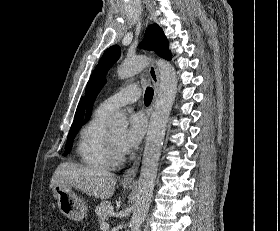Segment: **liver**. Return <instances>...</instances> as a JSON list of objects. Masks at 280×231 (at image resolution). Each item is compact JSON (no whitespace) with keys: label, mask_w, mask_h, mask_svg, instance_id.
Instances as JSON below:
<instances>
[{"label":"liver","mask_w":280,"mask_h":231,"mask_svg":"<svg viewBox=\"0 0 280 231\" xmlns=\"http://www.w3.org/2000/svg\"><path fill=\"white\" fill-rule=\"evenodd\" d=\"M117 177L110 171L98 173L95 169L83 167L79 163H60L55 169L50 187L60 183V185H72L75 189H80L87 195H94L99 199H110L114 193Z\"/></svg>","instance_id":"liver-1"}]
</instances>
